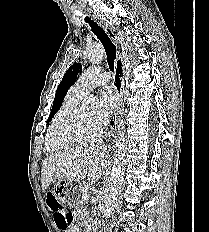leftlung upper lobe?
Instances as JSON below:
<instances>
[{
    "label": "left lung upper lobe",
    "instance_id": "obj_1",
    "mask_svg": "<svg viewBox=\"0 0 209 232\" xmlns=\"http://www.w3.org/2000/svg\"><path fill=\"white\" fill-rule=\"evenodd\" d=\"M81 69H82V65L80 63H75L64 74L63 79L59 84L55 94L49 120L52 119L55 113L60 109L68 89L77 80V75Z\"/></svg>",
    "mask_w": 209,
    "mask_h": 232
}]
</instances>
